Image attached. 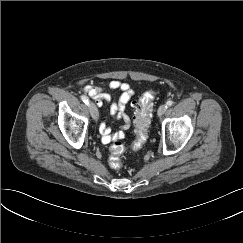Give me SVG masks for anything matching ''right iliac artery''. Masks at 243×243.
I'll use <instances>...</instances> for the list:
<instances>
[{
	"mask_svg": "<svg viewBox=\"0 0 243 243\" xmlns=\"http://www.w3.org/2000/svg\"><path fill=\"white\" fill-rule=\"evenodd\" d=\"M81 99H82V101H83L85 104H89V100H88V97H87V96L83 95V96H81Z\"/></svg>",
	"mask_w": 243,
	"mask_h": 243,
	"instance_id": "right-iliac-artery-1",
	"label": "right iliac artery"
}]
</instances>
